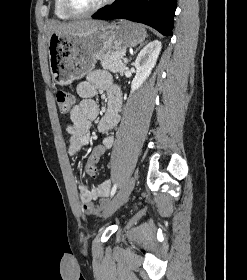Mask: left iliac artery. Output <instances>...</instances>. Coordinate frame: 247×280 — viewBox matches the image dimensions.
Masks as SVG:
<instances>
[{"instance_id":"44dca946","label":"left iliac artery","mask_w":247,"mask_h":280,"mask_svg":"<svg viewBox=\"0 0 247 280\" xmlns=\"http://www.w3.org/2000/svg\"><path fill=\"white\" fill-rule=\"evenodd\" d=\"M116 189H117V184H114V186L112 187V190H111V197L115 194Z\"/></svg>"}]
</instances>
